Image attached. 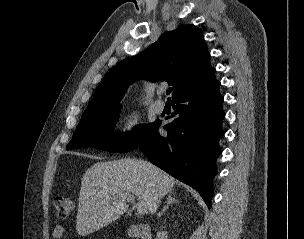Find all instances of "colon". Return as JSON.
Instances as JSON below:
<instances>
[{
	"mask_svg": "<svg viewBox=\"0 0 304 239\" xmlns=\"http://www.w3.org/2000/svg\"><path fill=\"white\" fill-rule=\"evenodd\" d=\"M53 204L60 218L69 217L75 209V203L73 199L70 197H63V196L55 197Z\"/></svg>",
	"mask_w": 304,
	"mask_h": 239,
	"instance_id": "5ec220e1",
	"label": "colon"
}]
</instances>
